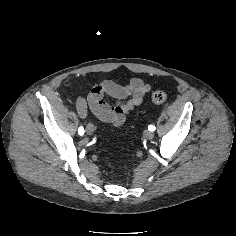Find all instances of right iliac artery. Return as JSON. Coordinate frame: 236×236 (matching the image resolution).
<instances>
[{
    "label": "right iliac artery",
    "mask_w": 236,
    "mask_h": 236,
    "mask_svg": "<svg viewBox=\"0 0 236 236\" xmlns=\"http://www.w3.org/2000/svg\"><path fill=\"white\" fill-rule=\"evenodd\" d=\"M78 133H79V135H83L84 134V128L82 126L79 127Z\"/></svg>",
    "instance_id": "82829eb1"
}]
</instances>
